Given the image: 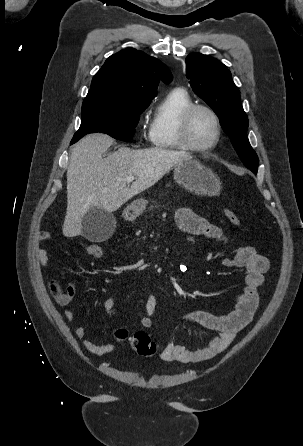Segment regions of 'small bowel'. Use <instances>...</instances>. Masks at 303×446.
Segmentation results:
<instances>
[{"instance_id": "small-bowel-1", "label": "small bowel", "mask_w": 303, "mask_h": 446, "mask_svg": "<svg viewBox=\"0 0 303 446\" xmlns=\"http://www.w3.org/2000/svg\"><path fill=\"white\" fill-rule=\"evenodd\" d=\"M176 222L179 229L188 239H213L223 244H230L229 238L216 225L211 224L203 217L195 214L188 208H181L176 213ZM38 240L46 243L51 240L49 232H41ZM84 249L88 245L81 243ZM37 258L42 266H47V251L40 248ZM224 264L228 267L241 268L246 271L242 292L238 295L234 309L226 315H214L205 311H194L183 315L182 319L213 331L215 335L206 346L189 349L181 345L169 344L161 352V358L169 362L201 363L212 359L223 352L236 338L237 334L250 323L258 305V289L264 281V274L268 271L269 262L266 257L260 255L251 246H240L235 249L232 257L225 258ZM80 279L70 280L65 288H62L57 280H50L49 291L62 308H68L75 296L76 287ZM156 309V298L149 294L145 305V313L140 319V325L148 328L152 325V317ZM104 310L109 318L117 314L115 298L109 297L104 302ZM65 319L72 322L75 314L66 310ZM74 334L78 339H83L82 347L85 351L94 354H107L114 350L113 344H97L88 339L86 328L77 326Z\"/></svg>"}]
</instances>
